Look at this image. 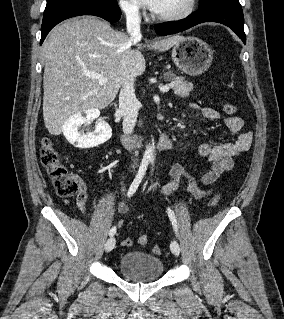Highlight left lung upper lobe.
Returning <instances> with one entry per match:
<instances>
[{
  "label": "left lung upper lobe",
  "mask_w": 284,
  "mask_h": 319,
  "mask_svg": "<svg viewBox=\"0 0 284 319\" xmlns=\"http://www.w3.org/2000/svg\"><path fill=\"white\" fill-rule=\"evenodd\" d=\"M223 1H229V2L235 1V2H238V0H200L199 8H205V7L211 6V5L215 4V3H219V2H223Z\"/></svg>",
  "instance_id": "1"
}]
</instances>
